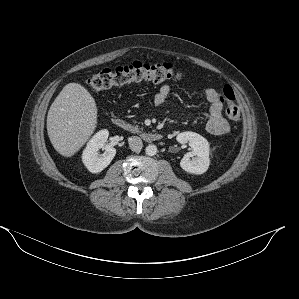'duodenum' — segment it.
<instances>
[{
    "label": "duodenum",
    "instance_id": "410a0bca",
    "mask_svg": "<svg viewBox=\"0 0 299 299\" xmlns=\"http://www.w3.org/2000/svg\"><path fill=\"white\" fill-rule=\"evenodd\" d=\"M112 124L117 127V128H121V129H128L129 125L128 123L120 118V117H114L112 119ZM142 137L144 140L148 141V142H155V141H159L162 139V135L159 133H143Z\"/></svg>",
    "mask_w": 299,
    "mask_h": 299
}]
</instances>
